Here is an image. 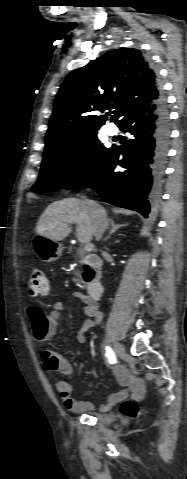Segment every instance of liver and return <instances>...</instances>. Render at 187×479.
Listing matches in <instances>:
<instances>
[{
    "label": "liver",
    "mask_w": 187,
    "mask_h": 479,
    "mask_svg": "<svg viewBox=\"0 0 187 479\" xmlns=\"http://www.w3.org/2000/svg\"><path fill=\"white\" fill-rule=\"evenodd\" d=\"M117 213L116 209H113ZM70 224H76L77 239L90 243L94 235L90 208L84 200L66 198L51 203L40 216L36 233L54 241H62L71 232Z\"/></svg>",
    "instance_id": "liver-1"
}]
</instances>
